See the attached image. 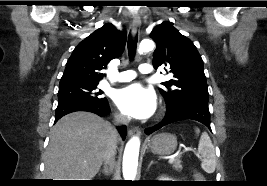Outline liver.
Instances as JSON below:
<instances>
[{
	"instance_id": "liver-1",
	"label": "liver",
	"mask_w": 267,
	"mask_h": 186,
	"mask_svg": "<svg viewBox=\"0 0 267 186\" xmlns=\"http://www.w3.org/2000/svg\"><path fill=\"white\" fill-rule=\"evenodd\" d=\"M112 126L89 112L62 117L53 127L44 175L53 180H91L99 171Z\"/></svg>"
}]
</instances>
